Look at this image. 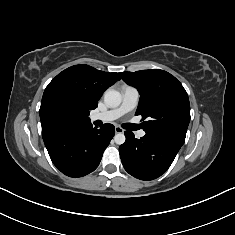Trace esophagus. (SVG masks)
I'll use <instances>...</instances> for the list:
<instances>
[{"label":"esophagus","instance_id":"34e87169","mask_svg":"<svg viewBox=\"0 0 235 235\" xmlns=\"http://www.w3.org/2000/svg\"><path fill=\"white\" fill-rule=\"evenodd\" d=\"M115 132L116 133H123L124 130L121 127H119V126H115Z\"/></svg>","mask_w":235,"mask_h":235}]
</instances>
